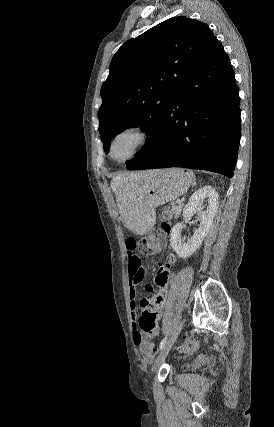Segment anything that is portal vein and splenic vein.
I'll use <instances>...</instances> for the list:
<instances>
[{
    "label": "portal vein and splenic vein",
    "mask_w": 274,
    "mask_h": 427,
    "mask_svg": "<svg viewBox=\"0 0 274 427\" xmlns=\"http://www.w3.org/2000/svg\"><path fill=\"white\" fill-rule=\"evenodd\" d=\"M177 204H181V200H177Z\"/></svg>",
    "instance_id": "obj_1"
}]
</instances>
